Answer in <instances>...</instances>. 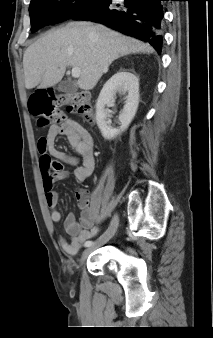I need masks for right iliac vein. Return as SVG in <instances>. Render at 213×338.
I'll use <instances>...</instances> for the list:
<instances>
[{
  "instance_id": "1",
  "label": "right iliac vein",
  "mask_w": 213,
  "mask_h": 338,
  "mask_svg": "<svg viewBox=\"0 0 213 338\" xmlns=\"http://www.w3.org/2000/svg\"><path fill=\"white\" fill-rule=\"evenodd\" d=\"M118 223H119V219L117 215H114L110 225L108 227V229L105 231V233L103 235H101L98 240L95 242L94 245L88 247L87 249H85V251L83 252V255L80 259V263L83 264V262L85 261L86 257L93 251L95 250L97 247L105 244L106 242H108L111 237L114 235V233L117 230L118 227Z\"/></svg>"
}]
</instances>
